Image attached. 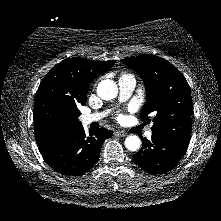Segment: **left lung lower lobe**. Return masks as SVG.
I'll return each instance as SVG.
<instances>
[{
  "label": "left lung lower lobe",
  "mask_w": 221,
  "mask_h": 221,
  "mask_svg": "<svg viewBox=\"0 0 221 221\" xmlns=\"http://www.w3.org/2000/svg\"><path fill=\"white\" fill-rule=\"evenodd\" d=\"M142 148L133 155L134 162L150 174H162L173 169L185 155L188 143L153 134L142 138Z\"/></svg>",
  "instance_id": "obj_1"
}]
</instances>
